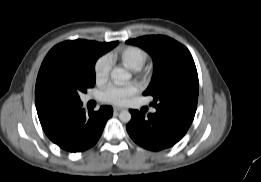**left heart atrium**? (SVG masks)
Wrapping results in <instances>:
<instances>
[{
	"label": "left heart atrium",
	"mask_w": 261,
	"mask_h": 182,
	"mask_svg": "<svg viewBox=\"0 0 261 182\" xmlns=\"http://www.w3.org/2000/svg\"><path fill=\"white\" fill-rule=\"evenodd\" d=\"M137 91L138 86L134 83L125 86L110 85L101 92L100 98L114 105H125Z\"/></svg>",
	"instance_id": "left-heart-atrium-1"
}]
</instances>
